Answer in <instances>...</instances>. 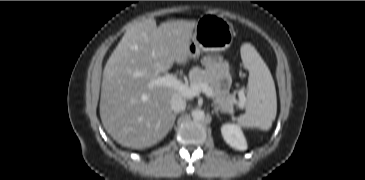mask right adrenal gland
Masks as SVG:
<instances>
[{"mask_svg": "<svg viewBox=\"0 0 365 180\" xmlns=\"http://www.w3.org/2000/svg\"><path fill=\"white\" fill-rule=\"evenodd\" d=\"M176 116H177V113H174L173 114V118H172V125H171V128L170 129H172V127L174 126V123H175V120H176Z\"/></svg>", "mask_w": 365, "mask_h": 180, "instance_id": "obj_1", "label": "right adrenal gland"}]
</instances>
